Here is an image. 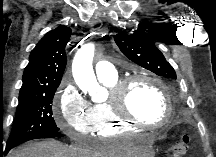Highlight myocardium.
<instances>
[{
	"label": "myocardium",
	"instance_id": "1",
	"mask_svg": "<svg viewBox=\"0 0 216 157\" xmlns=\"http://www.w3.org/2000/svg\"><path fill=\"white\" fill-rule=\"evenodd\" d=\"M140 80H145L155 85L161 92L164 101L166 114L164 119L159 123H151L138 119L129 109V94L131 86ZM110 102L113 107L115 116L121 121L140 128H162L168 125L171 121L173 109L170 94L165 84L159 79L146 74L138 73L119 80L110 91Z\"/></svg>",
	"mask_w": 216,
	"mask_h": 157
}]
</instances>
